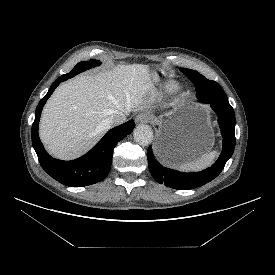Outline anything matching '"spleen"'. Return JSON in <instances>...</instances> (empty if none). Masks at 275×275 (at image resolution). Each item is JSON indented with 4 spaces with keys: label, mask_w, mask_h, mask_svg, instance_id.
<instances>
[{
    "label": "spleen",
    "mask_w": 275,
    "mask_h": 275,
    "mask_svg": "<svg viewBox=\"0 0 275 275\" xmlns=\"http://www.w3.org/2000/svg\"><path fill=\"white\" fill-rule=\"evenodd\" d=\"M216 156H217V152L212 151L208 154L203 155L202 157H200L199 159H197L195 161L180 164L178 167L181 170H185V171H191V170L199 171L201 169H204V168L210 166L213 163Z\"/></svg>",
    "instance_id": "3e777b00"
}]
</instances>
